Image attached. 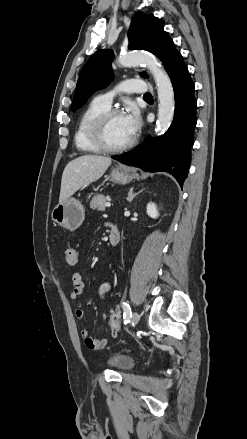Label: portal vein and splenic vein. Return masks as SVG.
I'll return each instance as SVG.
<instances>
[{"mask_svg": "<svg viewBox=\"0 0 247 439\" xmlns=\"http://www.w3.org/2000/svg\"><path fill=\"white\" fill-rule=\"evenodd\" d=\"M105 206H106V207H110V206H111V203H110V202H107V203H105Z\"/></svg>", "mask_w": 247, "mask_h": 439, "instance_id": "portal-vein-and-splenic-vein-1", "label": "portal vein and splenic vein"}]
</instances>
